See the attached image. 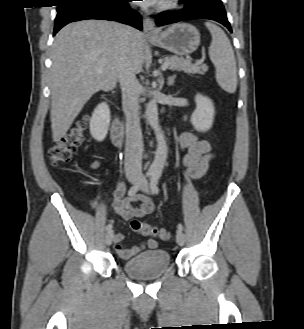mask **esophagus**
Returning <instances> with one entry per match:
<instances>
[{"label": "esophagus", "mask_w": 304, "mask_h": 329, "mask_svg": "<svg viewBox=\"0 0 304 329\" xmlns=\"http://www.w3.org/2000/svg\"><path fill=\"white\" fill-rule=\"evenodd\" d=\"M143 32L144 35L148 37L156 36L158 34L154 21L149 17H145L143 20Z\"/></svg>", "instance_id": "obj_1"}]
</instances>
